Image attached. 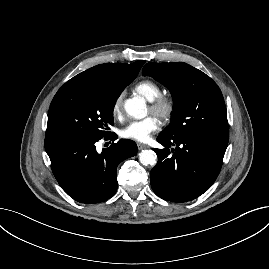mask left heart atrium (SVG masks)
<instances>
[{
  "mask_svg": "<svg viewBox=\"0 0 269 269\" xmlns=\"http://www.w3.org/2000/svg\"><path fill=\"white\" fill-rule=\"evenodd\" d=\"M160 128V121L155 116L128 123L122 130L121 136L138 142H146Z\"/></svg>",
  "mask_w": 269,
  "mask_h": 269,
  "instance_id": "1",
  "label": "left heart atrium"
}]
</instances>
